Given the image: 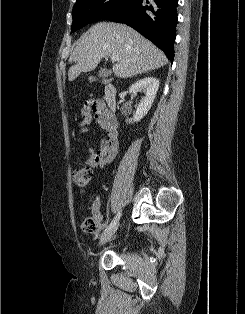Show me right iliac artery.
<instances>
[{"label":"right iliac artery","mask_w":245,"mask_h":314,"mask_svg":"<svg viewBox=\"0 0 245 314\" xmlns=\"http://www.w3.org/2000/svg\"><path fill=\"white\" fill-rule=\"evenodd\" d=\"M120 212L116 215V217L111 221V223L106 227V229L103 231V234L105 235L111 228L116 224L117 218L119 217ZM102 234V235H103Z\"/></svg>","instance_id":"right-iliac-artery-1"}]
</instances>
